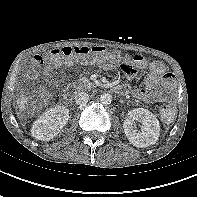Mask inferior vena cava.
<instances>
[{
  "label": "inferior vena cava",
  "mask_w": 197,
  "mask_h": 197,
  "mask_svg": "<svg viewBox=\"0 0 197 197\" xmlns=\"http://www.w3.org/2000/svg\"><path fill=\"white\" fill-rule=\"evenodd\" d=\"M89 95L86 92H78L75 94V101L78 105H84L88 102Z\"/></svg>",
  "instance_id": "602c4592"
}]
</instances>
